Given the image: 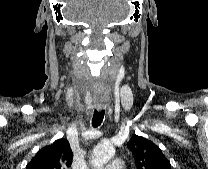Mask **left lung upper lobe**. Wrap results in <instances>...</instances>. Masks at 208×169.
Listing matches in <instances>:
<instances>
[{
  "mask_svg": "<svg viewBox=\"0 0 208 169\" xmlns=\"http://www.w3.org/2000/svg\"><path fill=\"white\" fill-rule=\"evenodd\" d=\"M127 147L134 154L137 169H171L170 162L152 141L133 135Z\"/></svg>",
  "mask_w": 208,
  "mask_h": 169,
  "instance_id": "obj_1",
  "label": "left lung upper lobe"
}]
</instances>
